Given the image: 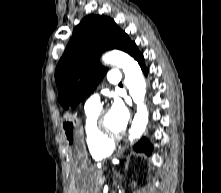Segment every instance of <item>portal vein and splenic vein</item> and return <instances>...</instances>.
Wrapping results in <instances>:
<instances>
[{"instance_id": "obj_1", "label": "portal vein and splenic vein", "mask_w": 221, "mask_h": 193, "mask_svg": "<svg viewBox=\"0 0 221 193\" xmlns=\"http://www.w3.org/2000/svg\"><path fill=\"white\" fill-rule=\"evenodd\" d=\"M106 178L105 176H103L101 179H100V184L102 185L104 182H105Z\"/></svg>"}]
</instances>
